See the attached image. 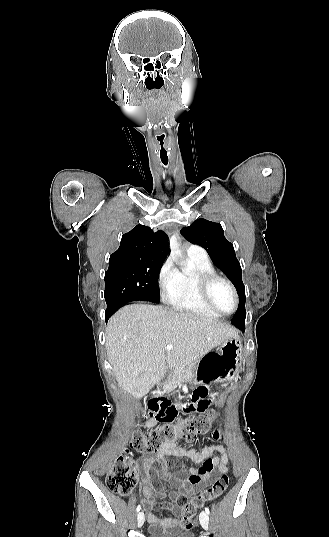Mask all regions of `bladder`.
<instances>
[{
    "label": "bladder",
    "mask_w": 329,
    "mask_h": 537,
    "mask_svg": "<svg viewBox=\"0 0 329 537\" xmlns=\"http://www.w3.org/2000/svg\"><path fill=\"white\" fill-rule=\"evenodd\" d=\"M149 537H195L191 531H164L150 533Z\"/></svg>",
    "instance_id": "obj_1"
}]
</instances>
